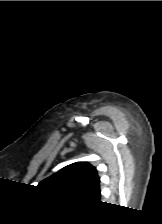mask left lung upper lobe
<instances>
[{
	"label": "left lung upper lobe",
	"instance_id": "obj_1",
	"mask_svg": "<svg viewBox=\"0 0 162 224\" xmlns=\"http://www.w3.org/2000/svg\"><path fill=\"white\" fill-rule=\"evenodd\" d=\"M96 168L87 162L70 164L39 183L38 187L74 198H91L99 188Z\"/></svg>",
	"mask_w": 162,
	"mask_h": 224
}]
</instances>
